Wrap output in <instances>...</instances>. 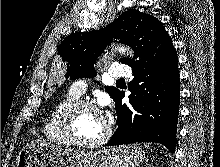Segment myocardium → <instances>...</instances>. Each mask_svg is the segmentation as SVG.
<instances>
[{"instance_id":"1","label":"myocardium","mask_w":220,"mask_h":167,"mask_svg":"<svg viewBox=\"0 0 220 167\" xmlns=\"http://www.w3.org/2000/svg\"><path fill=\"white\" fill-rule=\"evenodd\" d=\"M82 108H89L99 112L98 108L88 100L76 99L68 104L60 114L58 121V128L62 137L68 144L81 148H94L105 144L112 133L111 124L107 120H105L106 125L103 134L96 140L83 141L74 136L72 131L73 119L78 110Z\"/></svg>"}]
</instances>
